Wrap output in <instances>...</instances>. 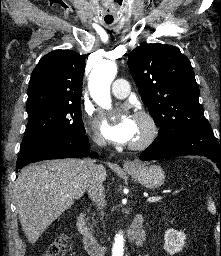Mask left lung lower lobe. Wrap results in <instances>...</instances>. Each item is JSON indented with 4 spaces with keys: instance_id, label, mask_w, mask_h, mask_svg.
<instances>
[{
    "instance_id": "left-lung-lower-lobe-1",
    "label": "left lung lower lobe",
    "mask_w": 221,
    "mask_h": 256,
    "mask_svg": "<svg viewBox=\"0 0 221 256\" xmlns=\"http://www.w3.org/2000/svg\"><path fill=\"white\" fill-rule=\"evenodd\" d=\"M185 155H201L211 159L221 171L220 146L210 124L200 127L178 126L158 135L140 155L141 160H159Z\"/></svg>"
}]
</instances>
